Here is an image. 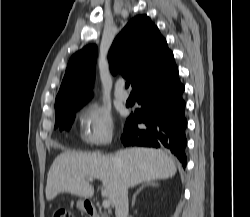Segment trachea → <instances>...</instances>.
<instances>
[{"label": "trachea", "mask_w": 250, "mask_h": 217, "mask_svg": "<svg viewBox=\"0 0 250 217\" xmlns=\"http://www.w3.org/2000/svg\"><path fill=\"white\" fill-rule=\"evenodd\" d=\"M129 85H130L129 82H127V83L125 84V87L128 88Z\"/></svg>", "instance_id": "trachea-1"}]
</instances>
